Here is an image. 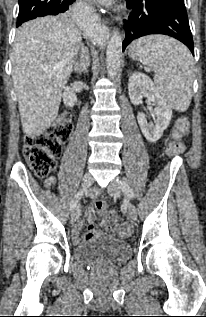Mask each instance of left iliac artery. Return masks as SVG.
I'll return each mask as SVG.
<instances>
[{"label":"left iliac artery","mask_w":206,"mask_h":317,"mask_svg":"<svg viewBox=\"0 0 206 317\" xmlns=\"http://www.w3.org/2000/svg\"><path fill=\"white\" fill-rule=\"evenodd\" d=\"M118 183L126 196L130 197L131 199L134 198L135 194L125 180L120 179L118 180Z\"/></svg>","instance_id":"44dca946"}]
</instances>
